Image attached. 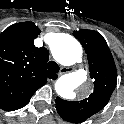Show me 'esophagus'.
<instances>
[{"mask_svg":"<svg viewBox=\"0 0 124 124\" xmlns=\"http://www.w3.org/2000/svg\"><path fill=\"white\" fill-rule=\"evenodd\" d=\"M72 71H74V69L71 68V67H62L60 69L59 75H62V74H65V73H69V72H72Z\"/></svg>","mask_w":124,"mask_h":124,"instance_id":"1","label":"esophagus"}]
</instances>
